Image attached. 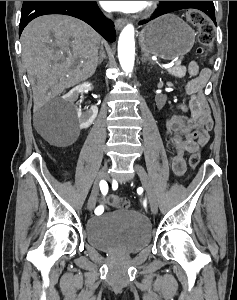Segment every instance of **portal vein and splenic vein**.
Listing matches in <instances>:
<instances>
[{
	"instance_id": "obj_1",
	"label": "portal vein and splenic vein",
	"mask_w": 237,
	"mask_h": 300,
	"mask_svg": "<svg viewBox=\"0 0 237 300\" xmlns=\"http://www.w3.org/2000/svg\"><path fill=\"white\" fill-rule=\"evenodd\" d=\"M179 64H183V61H181L180 59H177V61L174 63V66H179Z\"/></svg>"
}]
</instances>
